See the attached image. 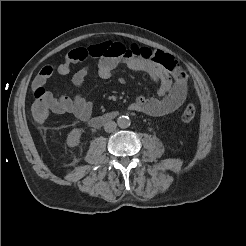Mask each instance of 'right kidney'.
<instances>
[{
	"instance_id": "right-kidney-1",
	"label": "right kidney",
	"mask_w": 246,
	"mask_h": 246,
	"mask_svg": "<svg viewBox=\"0 0 246 246\" xmlns=\"http://www.w3.org/2000/svg\"><path fill=\"white\" fill-rule=\"evenodd\" d=\"M82 135L81 129H73L67 136L66 143L69 147H76L80 143V137Z\"/></svg>"
}]
</instances>
